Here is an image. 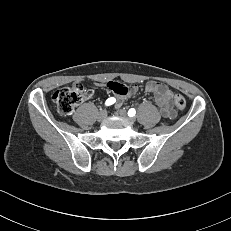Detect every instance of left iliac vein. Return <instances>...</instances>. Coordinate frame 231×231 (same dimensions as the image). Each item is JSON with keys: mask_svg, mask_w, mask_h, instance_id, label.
<instances>
[{"mask_svg": "<svg viewBox=\"0 0 231 231\" xmlns=\"http://www.w3.org/2000/svg\"><path fill=\"white\" fill-rule=\"evenodd\" d=\"M119 114H120L122 117L126 118L127 120H129V121H131V122L135 121V118H134V117H129V116L127 115V112H126L125 109H120V110H119Z\"/></svg>", "mask_w": 231, "mask_h": 231, "instance_id": "obj_1", "label": "left iliac vein"}]
</instances>
